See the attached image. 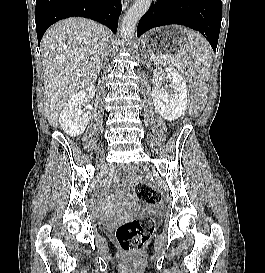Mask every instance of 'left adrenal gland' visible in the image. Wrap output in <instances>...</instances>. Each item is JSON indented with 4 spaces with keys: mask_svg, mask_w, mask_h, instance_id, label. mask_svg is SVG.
<instances>
[{
    "mask_svg": "<svg viewBox=\"0 0 265 273\" xmlns=\"http://www.w3.org/2000/svg\"><path fill=\"white\" fill-rule=\"evenodd\" d=\"M142 57H143V58L146 57V54L142 55ZM149 61H150V59H149Z\"/></svg>",
    "mask_w": 265,
    "mask_h": 273,
    "instance_id": "left-adrenal-gland-1",
    "label": "left adrenal gland"
}]
</instances>
